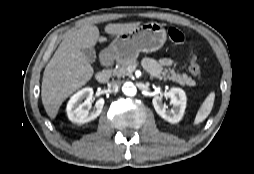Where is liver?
I'll list each match as a JSON object with an SVG mask.
<instances>
[{"instance_id": "1", "label": "liver", "mask_w": 254, "mask_h": 174, "mask_svg": "<svg viewBox=\"0 0 254 174\" xmlns=\"http://www.w3.org/2000/svg\"><path fill=\"white\" fill-rule=\"evenodd\" d=\"M139 22L111 23L105 26L110 35H121L139 27ZM105 42L99 29L86 25L70 32L60 43L45 67L41 86L42 103L51 119L57 116L60 106L73 92L85 85L94 70L82 49L93 47L97 42Z\"/></svg>"}]
</instances>
